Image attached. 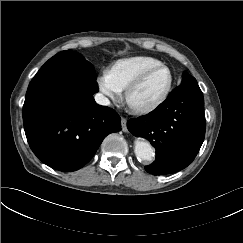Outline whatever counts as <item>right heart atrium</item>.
Returning a JSON list of instances; mask_svg holds the SVG:
<instances>
[{
	"instance_id": "obj_1",
	"label": "right heart atrium",
	"mask_w": 243,
	"mask_h": 243,
	"mask_svg": "<svg viewBox=\"0 0 243 243\" xmlns=\"http://www.w3.org/2000/svg\"><path fill=\"white\" fill-rule=\"evenodd\" d=\"M100 91L110 99L117 100L120 97V91L115 87L109 73L105 71L98 79Z\"/></svg>"
}]
</instances>
